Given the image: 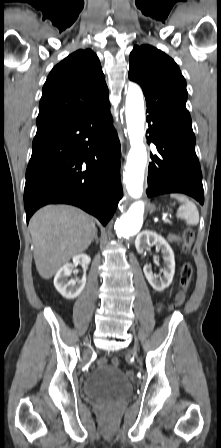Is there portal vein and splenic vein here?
<instances>
[{
    "label": "portal vein and splenic vein",
    "mask_w": 221,
    "mask_h": 448,
    "mask_svg": "<svg viewBox=\"0 0 221 448\" xmlns=\"http://www.w3.org/2000/svg\"><path fill=\"white\" fill-rule=\"evenodd\" d=\"M163 220H164V223H170V220L166 217Z\"/></svg>",
    "instance_id": "obj_1"
}]
</instances>
